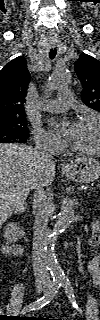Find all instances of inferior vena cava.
<instances>
[{"label": "inferior vena cava", "mask_w": 100, "mask_h": 320, "mask_svg": "<svg viewBox=\"0 0 100 320\" xmlns=\"http://www.w3.org/2000/svg\"><path fill=\"white\" fill-rule=\"evenodd\" d=\"M35 151L47 161L52 159V155L42 144H37ZM51 212V201L47 196L43 185L34 187L33 214L34 238H33V271L36 282L47 283L50 281L48 267L45 257V244L48 236V217Z\"/></svg>", "instance_id": "602c4592"}]
</instances>
